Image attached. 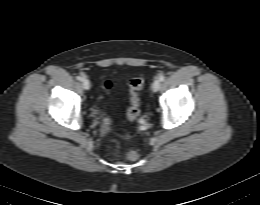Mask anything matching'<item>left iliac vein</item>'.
<instances>
[{
  "mask_svg": "<svg viewBox=\"0 0 260 205\" xmlns=\"http://www.w3.org/2000/svg\"><path fill=\"white\" fill-rule=\"evenodd\" d=\"M161 83L159 80H155L152 84V90L157 92L160 89Z\"/></svg>",
  "mask_w": 260,
  "mask_h": 205,
  "instance_id": "1",
  "label": "left iliac vein"
}]
</instances>
